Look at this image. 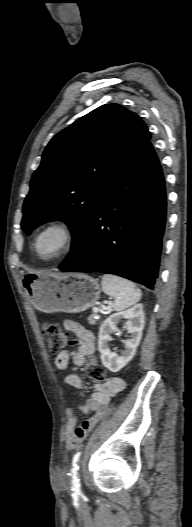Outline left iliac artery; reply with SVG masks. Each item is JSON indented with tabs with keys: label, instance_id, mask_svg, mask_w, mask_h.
<instances>
[{
	"label": "left iliac artery",
	"instance_id": "1",
	"mask_svg": "<svg viewBox=\"0 0 192 527\" xmlns=\"http://www.w3.org/2000/svg\"><path fill=\"white\" fill-rule=\"evenodd\" d=\"M80 456H81V452H77L74 455L73 460H72V469H71L72 480H71V483H72V488L75 491H79V489H80V482H79V479L77 477L78 469H79L78 462H79Z\"/></svg>",
	"mask_w": 192,
	"mask_h": 527
}]
</instances>
